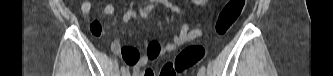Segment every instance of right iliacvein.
<instances>
[{
    "label": "right iliac vein",
    "instance_id": "right-iliac-vein-1",
    "mask_svg": "<svg viewBox=\"0 0 333 76\" xmlns=\"http://www.w3.org/2000/svg\"><path fill=\"white\" fill-rule=\"evenodd\" d=\"M122 75H123V76H128L129 73H128V72H125V73H123Z\"/></svg>",
    "mask_w": 333,
    "mask_h": 76
}]
</instances>
